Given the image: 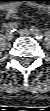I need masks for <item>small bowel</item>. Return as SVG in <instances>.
Returning <instances> with one entry per match:
<instances>
[{
  "instance_id": "small-bowel-1",
  "label": "small bowel",
  "mask_w": 50,
  "mask_h": 111,
  "mask_svg": "<svg viewBox=\"0 0 50 111\" xmlns=\"http://www.w3.org/2000/svg\"><path fill=\"white\" fill-rule=\"evenodd\" d=\"M15 14V9L14 8H8L6 10V17L11 18Z\"/></svg>"
}]
</instances>
